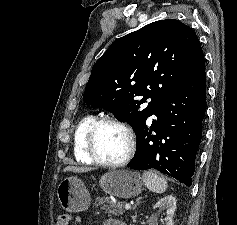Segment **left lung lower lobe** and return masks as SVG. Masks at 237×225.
<instances>
[{
  "mask_svg": "<svg viewBox=\"0 0 237 225\" xmlns=\"http://www.w3.org/2000/svg\"><path fill=\"white\" fill-rule=\"evenodd\" d=\"M205 110V80L161 98L135 131L136 153L128 167L157 169L190 186ZM153 114L157 119L148 126L147 119Z\"/></svg>",
  "mask_w": 237,
  "mask_h": 225,
  "instance_id": "1",
  "label": "left lung lower lobe"
}]
</instances>
